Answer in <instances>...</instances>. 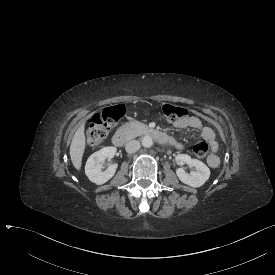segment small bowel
Returning a JSON list of instances; mask_svg holds the SVG:
<instances>
[{
  "mask_svg": "<svg viewBox=\"0 0 275 275\" xmlns=\"http://www.w3.org/2000/svg\"><path fill=\"white\" fill-rule=\"evenodd\" d=\"M175 127L179 129H185V128H190L192 130H200L201 131V137L207 141L212 149V154L208 158V164L211 167H216L219 164V157L217 155V149H218V144L217 141L215 140V134L213 130L209 127H202V122L197 116H189L185 119L179 120L174 122ZM174 145L178 149H182L183 145L178 142H174Z\"/></svg>",
  "mask_w": 275,
  "mask_h": 275,
  "instance_id": "c3829d8e",
  "label": "small bowel"
}]
</instances>
